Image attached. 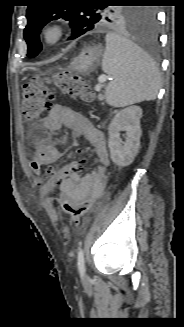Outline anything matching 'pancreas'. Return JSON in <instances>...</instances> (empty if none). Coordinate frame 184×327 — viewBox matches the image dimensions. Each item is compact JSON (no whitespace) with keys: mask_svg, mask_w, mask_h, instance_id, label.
<instances>
[{"mask_svg":"<svg viewBox=\"0 0 184 327\" xmlns=\"http://www.w3.org/2000/svg\"><path fill=\"white\" fill-rule=\"evenodd\" d=\"M98 99L99 100H103L104 99V96L102 94H99Z\"/></svg>","mask_w":184,"mask_h":327,"instance_id":"1","label":"pancreas"}]
</instances>
